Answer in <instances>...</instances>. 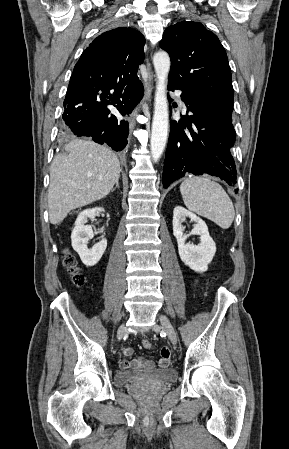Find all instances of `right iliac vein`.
I'll return each mask as SVG.
<instances>
[{"mask_svg": "<svg viewBox=\"0 0 289 449\" xmlns=\"http://www.w3.org/2000/svg\"><path fill=\"white\" fill-rule=\"evenodd\" d=\"M127 327L125 324L121 325L117 331V338L120 340L123 335L126 333Z\"/></svg>", "mask_w": 289, "mask_h": 449, "instance_id": "1", "label": "right iliac vein"}]
</instances>
